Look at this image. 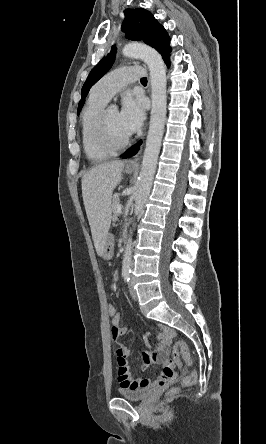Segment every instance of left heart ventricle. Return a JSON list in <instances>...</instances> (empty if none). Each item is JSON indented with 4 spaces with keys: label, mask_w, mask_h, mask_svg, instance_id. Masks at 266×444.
Returning <instances> with one entry per match:
<instances>
[{
    "label": "left heart ventricle",
    "mask_w": 266,
    "mask_h": 444,
    "mask_svg": "<svg viewBox=\"0 0 266 444\" xmlns=\"http://www.w3.org/2000/svg\"><path fill=\"white\" fill-rule=\"evenodd\" d=\"M106 135L113 143H120L129 136L119 121V113L109 109L106 116Z\"/></svg>",
    "instance_id": "obj_1"
}]
</instances>
